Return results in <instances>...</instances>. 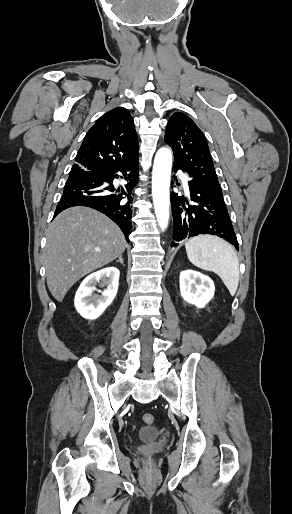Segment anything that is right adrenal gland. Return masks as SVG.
<instances>
[{
  "label": "right adrenal gland",
  "instance_id": "2a0ac1e0",
  "mask_svg": "<svg viewBox=\"0 0 292 514\" xmlns=\"http://www.w3.org/2000/svg\"><path fill=\"white\" fill-rule=\"evenodd\" d=\"M116 262H120V264H123V266H125L122 256H120L119 260H116Z\"/></svg>",
  "mask_w": 292,
  "mask_h": 514
}]
</instances>
